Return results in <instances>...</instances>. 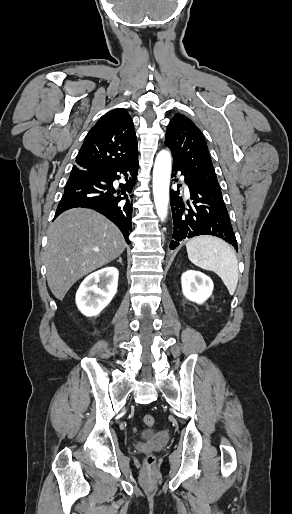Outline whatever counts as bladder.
I'll list each match as a JSON object with an SVG mask.
<instances>
[{
    "instance_id": "1",
    "label": "bladder",
    "mask_w": 292,
    "mask_h": 514,
    "mask_svg": "<svg viewBox=\"0 0 292 514\" xmlns=\"http://www.w3.org/2000/svg\"><path fill=\"white\" fill-rule=\"evenodd\" d=\"M152 436V432L150 430H147L145 433H144V437L146 438H149Z\"/></svg>"
}]
</instances>
